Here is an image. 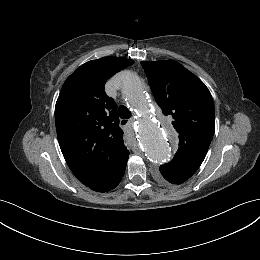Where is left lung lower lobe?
Returning a JSON list of instances; mask_svg holds the SVG:
<instances>
[{"label":"left lung lower lobe","instance_id":"left-lung-lower-lobe-1","mask_svg":"<svg viewBox=\"0 0 260 260\" xmlns=\"http://www.w3.org/2000/svg\"><path fill=\"white\" fill-rule=\"evenodd\" d=\"M192 175L176 172H164L158 175V178L161 182L172 183V184H181L188 180Z\"/></svg>","mask_w":260,"mask_h":260}]
</instances>
